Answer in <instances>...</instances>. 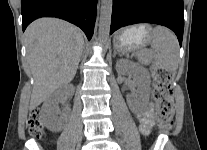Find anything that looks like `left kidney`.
Instances as JSON below:
<instances>
[{"instance_id": "obj_1", "label": "left kidney", "mask_w": 207, "mask_h": 150, "mask_svg": "<svg viewBox=\"0 0 207 150\" xmlns=\"http://www.w3.org/2000/svg\"><path fill=\"white\" fill-rule=\"evenodd\" d=\"M116 69L121 74L134 75L139 86V97L137 100H134L131 96H129L128 105L134 113H141L146 108L150 95V77L147 70L139 64L125 59L117 61Z\"/></svg>"}]
</instances>
